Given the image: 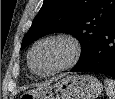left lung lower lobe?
<instances>
[{
    "mask_svg": "<svg viewBox=\"0 0 115 99\" xmlns=\"http://www.w3.org/2000/svg\"><path fill=\"white\" fill-rule=\"evenodd\" d=\"M71 71L97 72L115 78V19L98 44Z\"/></svg>",
    "mask_w": 115,
    "mask_h": 99,
    "instance_id": "0a47b994",
    "label": "left lung lower lobe"
}]
</instances>
